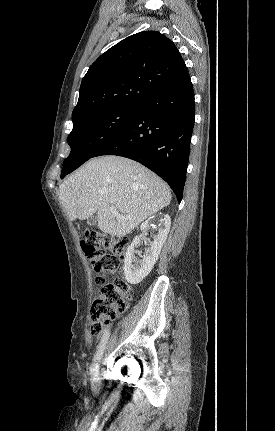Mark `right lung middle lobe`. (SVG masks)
Here are the masks:
<instances>
[{"label":"right lung middle lobe","mask_w":275,"mask_h":431,"mask_svg":"<svg viewBox=\"0 0 275 431\" xmlns=\"http://www.w3.org/2000/svg\"><path fill=\"white\" fill-rule=\"evenodd\" d=\"M138 107L117 106L89 113L73 122L68 136L70 155L63 163L61 178L74 171L117 136L135 117Z\"/></svg>","instance_id":"dd1d6c3e"}]
</instances>
